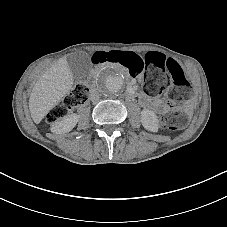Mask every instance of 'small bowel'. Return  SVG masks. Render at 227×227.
<instances>
[{
  "instance_id": "small-bowel-1",
  "label": "small bowel",
  "mask_w": 227,
  "mask_h": 227,
  "mask_svg": "<svg viewBox=\"0 0 227 227\" xmlns=\"http://www.w3.org/2000/svg\"><path fill=\"white\" fill-rule=\"evenodd\" d=\"M154 53L165 57L161 53H158V52H154ZM114 65H116V64H114ZM147 107L150 108L151 110L155 111V112H164V111L167 110V106L161 100L156 99V98L148 99Z\"/></svg>"
}]
</instances>
